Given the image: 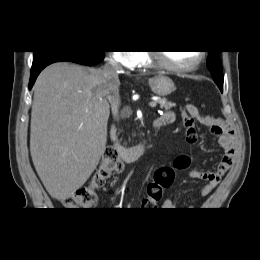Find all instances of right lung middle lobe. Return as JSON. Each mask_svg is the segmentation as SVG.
<instances>
[{"instance_id": "1", "label": "right lung middle lobe", "mask_w": 260, "mask_h": 260, "mask_svg": "<svg viewBox=\"0 0 260 260\" xmlns=\"http://www.w3.org/2000/svg\"><path fill=\"white\" fill-rule=\"evenodd\" d=\"M40 54H41V52L34 51V57H36V56H38Z\"/></svg>"}]
</instances>
